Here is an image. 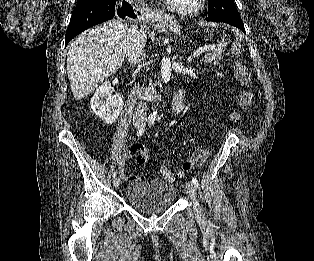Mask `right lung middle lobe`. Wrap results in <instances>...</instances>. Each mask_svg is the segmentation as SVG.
Here are the masks:
<instances>
[{"instance_id":"right-lung-middle-lobe-1","label":"right lung middle lobe","mask_w":314,"mask_h":261,"mask_svg":"<svg viewBox=\"0 0 314 261\" xmlns=\"http://www.w3.org/2000/svg\"><path fill=\"white\" fill-rule=\"evenodd\" d=\"M89 1H91V0H77V5L76 6L85 4V3L89 2Z\"/></svg>"}]
</instances>
